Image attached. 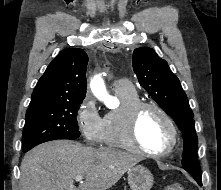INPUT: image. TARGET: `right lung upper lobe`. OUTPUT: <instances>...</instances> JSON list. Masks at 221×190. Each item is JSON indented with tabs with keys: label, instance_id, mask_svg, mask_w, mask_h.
Instances as JSON below:
<instances>
[{
	"label": "right lung upper lobe",
	"instance_id": "obj_1",
	"mask_svg": "<svg viewBox=\"0 0 221 190\" xmlns=\"http://www.w3.org/2000/svg\"><path fill=\"white\" fill-rule=\"evenodd\" d=\"M87 63L88 56L82 49L61 51L39 79L29 106L83 101L87 89Z\"/></svg>",
	"mask_w": 221,
	"mask_h": 190
}]
</instances>
